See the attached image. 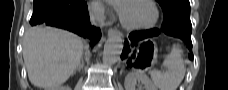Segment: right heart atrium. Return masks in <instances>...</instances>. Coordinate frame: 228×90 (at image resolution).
I'll return each mask as SVG.
<instances>
[{
    "instance_id": "d8ad5b80",
    "label": "right heart atrium",
    "mask_w": 228,
    "mask_h": 90,
    "mask_svg": "<svg viewBox=\"0 0 228 90\" xmlns=\"http://www.w3.org/2000/svg\"><path fill=\"white\" fill-rule=\"evenodd\" d=\"M91 11L97 17H103L106 14V9L98 1L91 3Z\"/></svg>"
}]
</instances>
